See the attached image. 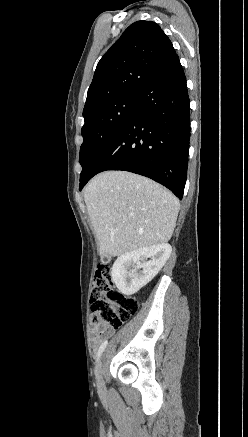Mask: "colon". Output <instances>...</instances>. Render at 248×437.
I'll return each instance as SVG.
<instances>
[{
  "label": "colon",
  "instance_id": "1",
  "mask_svg": "<svg viewBox=\"0 0 248 437\" xmlns=\"http://www.w3.org/2000/svg\"><path fill=\"white\" fill-rule=\"evenodd\" d=\"M138 307L136 298L125 296L114 287L111 266L107 263L98 265L90 293L92 325L119 328Z\"/></svg>",
  "mask_w": 248,
  "mask_h": 437
}]
</instances>
